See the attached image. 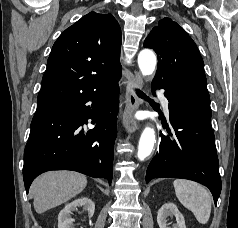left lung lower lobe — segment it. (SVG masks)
Segmentation results:
<instances>
[{
    "instance_id": "left-lung-lower-lobe-1",
    "label": "left lung lower lobe",
    "mask_w": 238,
    "mask_h": 228,
    "mask_svg": "<svg viewBox=\"0 0 238 228\" xmlns=\"http://www.w3.org/2000/svg\"><path fill=\"white\" fill-rule=\"evenodd\" d=\"M152 88L165 89L173 131L167 125L168 134H160L159 151L148 166L146 182L162 177L193 180L207 186L217 204L221 178L210 122L211 110L173 89L156 84H152Z\"/></svg>"
}]
</instances>
